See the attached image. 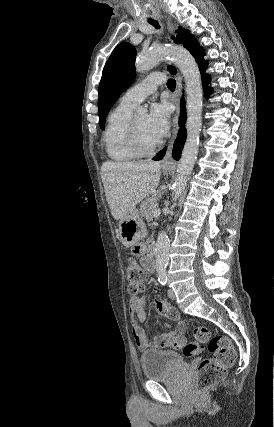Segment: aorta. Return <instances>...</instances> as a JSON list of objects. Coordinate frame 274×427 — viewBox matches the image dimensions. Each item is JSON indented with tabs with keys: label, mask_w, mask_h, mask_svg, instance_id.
Returning a JSON list of instances; mask_svg holds the SVG:
<instances>
[{
	"label": "aorta",
	"mask_w": 274,
	"mask_h": 427,
	"mask_svg": "<svg viewBox=\"0 0 274 427\" xmlns=\"http://www.w3.org/2000/svg\"><path fill=\"white\" fill-rule=\"evenodd\" d=\"M170 57L180 69L186 87L187 139L177 165V176L172 196L178 199L183 193L193 170L198 154L199 138L202 126V83L198 65L193 56L181 46H159L138 54L135 61L136 71L145 73L157 63ZM139 113H145L141 108ZM169 238L165 231L158 234L156 243V270L161 281L166 280V267L169 261Z\"/></svg>",
	"instance_id": "aorta-1"
}]
</instances>
